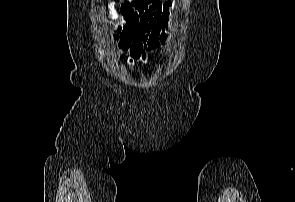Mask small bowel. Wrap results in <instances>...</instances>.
Instances as JSON below:
<instances>
[{
	"label": "small bowel",
	"instance_id": "small-bowel-1",
	"mask_svg": "<svg viewBox=\"0 0 295 202\" xmlns=\"http://www.w3.org/2000/svg\"><path fill=\"white\" fill-rule=\"evenodd\" d=\"M172 1L134 0L126 6L124 24L119 27L122 51H128V64L145 60L147 53L166 45L171 23Z\"/></svg>",
	"mask_w": 295,
	"mask_h": 202
}]
</instances>
